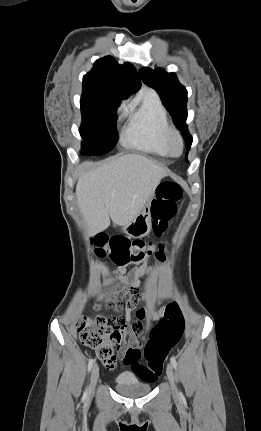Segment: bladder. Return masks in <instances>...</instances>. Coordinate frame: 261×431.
<instances>
[{
    "instance_id": "obj_1",
    "label": "bladder",
    "mask_w": 261,
    "mask_h": 431,
    "mask_svg": "<svg viewBox=\"0 0 261 431\" xmlns=\"http://www.w3.org/2000/svg\"><path fill=\"white\" fill-rule=\"evenodd\" d=\"M116 391L126 397H141L147 395L152 386L150 383L138 380L131 372H121L115 379Z\"/></svg>"
}]
</instances>
